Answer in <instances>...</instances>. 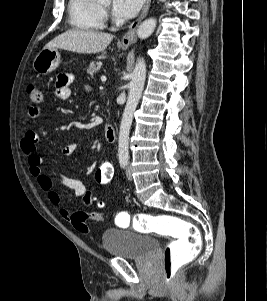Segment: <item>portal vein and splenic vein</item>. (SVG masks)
<instances>
[{
  "mask_svg": "<svg viewBox=\"0 0 267 301\" xmlns=\"http://www.w3.org/2000/svg\"><path fill=\"white\" fill-rule=\"evenodd\" d=\"M106 80H107L106 76H105V75H102V76H101V81H102V82H105Z\"/></svg>",
  "mask_w": 267,
  "mask_h": 301,
  "instance_id": "portal-vein-and-splenic-vein-1",
  "label": "portal vein and splenic vein"
}]
</instances>
